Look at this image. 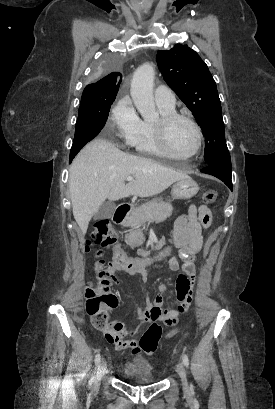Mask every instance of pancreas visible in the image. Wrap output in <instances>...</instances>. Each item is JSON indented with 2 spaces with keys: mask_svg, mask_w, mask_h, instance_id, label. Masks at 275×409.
I'll use <instances>...</instances> for the list:
<instances>
[{
  "mask_svg": "<svg viewBox=\"0 0 275 409\" xmlns=\"http://www.w3.org/2000/svg\"><path fill=\"white\" fill-rule=\"evenodd\" d=\"M173 211L172 205L169 202H156V200H149L145 202V205L141 207H136L122 223L123 227H131L128 235H125L126 245L130 247H140L144 243V235L142 229H137L143 223H160V221H165L167 217H171ZM136 229V231H134Z\"/></svg>",
  "mask_w": 275,
  "mask_h": 409,
  "instance_id": "pancreas-1",
  "label": "pancreas"
}]
</instances>
